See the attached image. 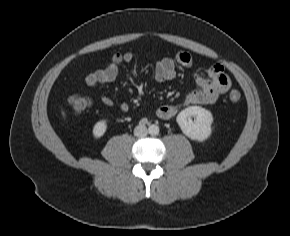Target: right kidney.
<instances>
[{
    "label": "right kidney",
    "instance_id": "obj_1",
    "mask_svg": "<svg viewBox=\"0 0 290 236\" xmlns=\"http://www.w3.org/2000/svg\"><path fill=\"white\" fill-rule=\"evenodd\" d=\"M107 129V122L106 120L98 121L93 127V135L95 138H100L104 135Z\"/></svg>",
    "mask_w": 290,
    "mask_h": 236
}]
</instances>
